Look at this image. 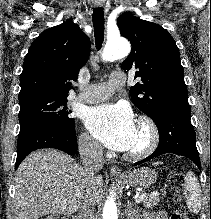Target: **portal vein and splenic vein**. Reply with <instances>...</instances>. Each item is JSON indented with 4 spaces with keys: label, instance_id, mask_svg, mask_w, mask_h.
Instances as JSON below:
<instances>
[{
    "label": "portal vein and splenic vein",
    "instance_id": "obj_1",
    "mask_svg": "<svg viewBox=\"0 0 211 219\" xmlns=\"http://www.w3.org/2000/svg\"><path fill=\"white\" fill-rule=\"evenodd\" d=\"M144 198H145V194L142 193V194H140V195L135 196V197H134V200H135L136 203H139V202L142 201V199H144Z\"/></svg>",
    "mask_w": 211,
    "mask_h": 219
}]
</instances>
